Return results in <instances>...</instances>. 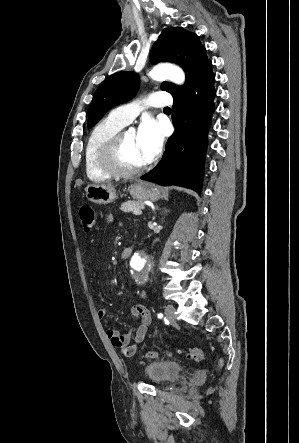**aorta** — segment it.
Here are the masks:
<instances>
[{
  "label": "aorta",
  "instance_id": "1",
  "mask_svg": "<svg viewBox=\"0 0 299 443\" xmlns=\"http://www.w3.org/2000/svg\"><path fill=\"white\" fill-rule=\"evenodd\" d=\"M149 76L156 81L169 79L176 84H182L185 81L184 72L174 65L161 64L155 66L150 72ZM147 257L143 253L136 252L131 257L130 265L136 271H141L147 264Z\"/></svg>",
  "mask_w": 299,
  "mask_h": 443
}]
</instances>
